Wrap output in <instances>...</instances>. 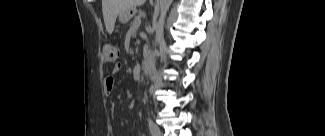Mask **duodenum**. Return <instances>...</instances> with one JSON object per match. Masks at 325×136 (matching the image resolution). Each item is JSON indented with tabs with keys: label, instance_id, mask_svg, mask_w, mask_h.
Wrapping results in <instances>:
<instances>
[{
	"label": "duodenum",
	"instance_id": "duodenum-1",
	"mask_svg": "<svg viewBox=\"0 0 325 136\" xmlns=\"http://www.w3.org/2000/svg\"><path fill=\"white\" fill-rule=\"evenodd\" d=\"M142 72V66L140 64H136L133 68H132V75L134 78H139Z\"/></svg>",
	"mask_w": 325,
	"mask_h": 136
}]
</instances>
